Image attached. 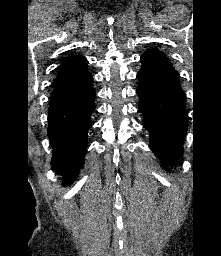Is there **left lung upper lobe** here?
Listing matches in <instances>:
<instances>
[{
    "mask_svg": "<svg viewBox=\"0 0 221 256\" xmlns=\"http://www.w3.org/2000/svg\"><path fill=\"white\" fill-rule=\"evenodd\" d=\"M143 64L142 68L148 67H172L169 59L164 53L157 49H149L146 51L140 60Z\"/></svg>",
    "mask_w": 221,
    "mask_h": 256,
    "instance_id": "1",
    "label": "left lung upper lobe"
}]
</instances>
